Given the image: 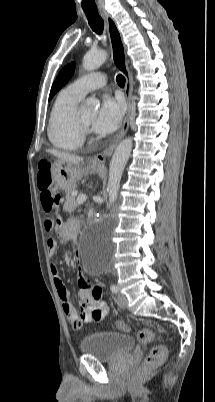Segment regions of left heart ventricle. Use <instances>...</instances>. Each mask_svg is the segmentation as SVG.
I'll use <instances>...</instances> for the list:
<instances>
[{
  "mask_svg": "<svg viewBox=\"0 0 215 402\" xmlns=\"http://www.w3.org/2000/svg\"><path fill=\"white\" fill-rule=\"evenodd\" d=\"M95 115L96 113L94 110H86L80 113L82 122L88 126H90L93 123Z\"/></svg>",
  "mask_w": 215,
  "mask_h": 402,
  "instance_id": "1",
  "label": "left heart ventricle"
}]
</instances>
